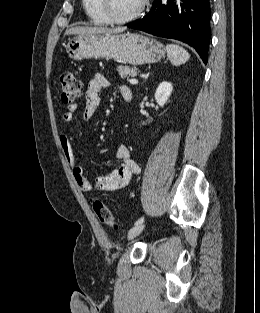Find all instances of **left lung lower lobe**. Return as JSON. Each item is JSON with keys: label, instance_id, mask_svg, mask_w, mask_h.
Listing matches in <instances>:
<instances>
[{"label": "left lung lower lobe", "instance_id": "obj_1", "mask_svg": "<svg viewBox=\"0 0 260 313\" xmlns=\"http://www.w3.org/2000/svg\"><path fill=\"white\" fill-rule=\"evenodd\" d=\"M209 0H155L150 12L129 28L183 41L207 62L210 41Z\"/></svg>", "mask_w": 260, "mask_h": 313}]
</instances>
